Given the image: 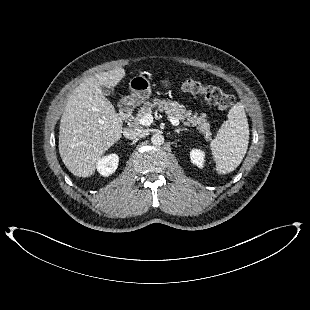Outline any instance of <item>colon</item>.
<instances>
[{
  "instance_id": "5ec220e1",
  "label": "colon",
  "mask_w": 310,
  "mask_h": 310,
  "mask_svg": "<svg viewBox=\"0 0 310 310\" xmlns=\"http://www.w3.org/2000/svg\"><path fill=\"white\" fill-rule=\"evenodd\" d=\"M182 90L189 96H201L207 103L221 110L230 109L234 105L233 96L211 85H204L197 80L188 79L182 85Z\"/></svg>"
}]
</instances>
